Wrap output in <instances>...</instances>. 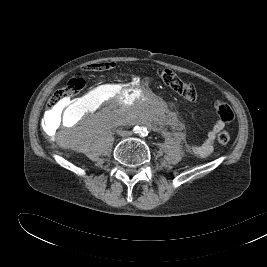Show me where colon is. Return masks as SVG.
<instances>
[{
    "label": "colon",
    "mask_w": 267,
    "mask_h": 267,
    "mask_svg": "<svg viewBox=\"0 0 267 267\" xmlns=\"http://www.w3.org/2000/svg\"><path fill=\"white\" fill-rule=\"evenodd\" d=\"M113 66V63H101L93 65L94 70H106ZM160 80L183 99L189 102H194L197 99V91L195 87L188 82L183 81L176 73L170 69L161 68L157 72ZM85 85V80L82 75H75L65 86L58 89L50 98L48 107L53 110L61 105L66 100L76 95ZM214 108L218 117L224 122H230L234 118L232 107L224 101H216ZM230 141L228 131L223 130L217 136V142L220 146H226Z\"/></svg>",
    "instance_id": "colon-1"
}]
</instances>
